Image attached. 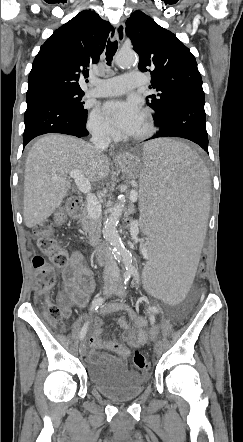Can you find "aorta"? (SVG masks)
I'll return each instance as SVG.
<instances>
[{
  "instance_id": "1",
  "label": "aorta",
  "mask_w": 243,
  "mask_h": 442,
  "mask_svg": "<svg viewBox=\"0 0 243 442\" xmlns=\"http://www.w3.org/2000/svg\"><path fill=\"white\" fill-rule=\"evenodd\" d=\"M116 65L119 68H132L136 65L134 52L121 51L116 57ZM125 198L118 197L117 203L110 209V214L104 222L103 235L109 243L114 257L124 264L126 273L134 270L131 253L124 247L117 230L119 219L124 211Z\"/></svg>"
}]
</instances>
